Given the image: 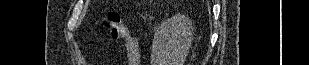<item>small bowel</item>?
I'll return each instance as SVG.
<instances>
[{
  "instance_id": "1",
  "label": "small bowel",
  "mask_w": 309,
  "mask_h": 65,
  "mask_svg": "<svg viewBox=\"0 0 309 65\" xmlns=\"http://www.w3.org/2000/svg\"><path fill=\"white\" fill-rule=\"evenodd\" d=\"M125 46L129 65H140V51L137 38L127 35Z\"/></svg>"
}]
</instances>
